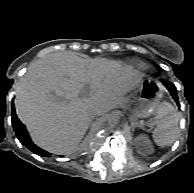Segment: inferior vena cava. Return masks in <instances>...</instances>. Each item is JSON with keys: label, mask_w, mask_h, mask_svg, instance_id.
Segmentation results:
<instances>
[{"label": "inferior vena cava", "mask_w": 194, "mask_h": 193, "mask_svg": "<svg viewBox=\"0 0 194 193\" xmlns=\"http://www.w3.org/2000/svg\"><path fill=\"white\" fill-rule=\"evenodd\" d=\"M99 114H100L99 111L93 112V113L91 114V117H92V118H97V117L99 116Z\"/></svg>", "instance_id": "inferior-vena-cava-1"}]
</instances>
